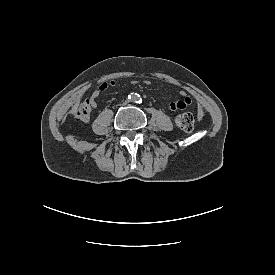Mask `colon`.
I'll return each mask as SVG.
<instances>
[{
    "mask_svg": "<svg viewBox=\"0 0 275 275\" xmlns=\"http://www.w3.org/2000/svg\"><path fill=\"white\" fill-rule=\"evenodd\" d=\"M109 86L115 85L114 81L108 83ZM91 113L90 99L88 96L84 97L82 103L76 107L72 112V117L79 120H86ZM174 124L183 132H190L194 129L195 117L192 113H183L174 119Z\"/></svg>",
    "mask_w": 275,
    "mask_h": 275,
    "instance_id": "5ec220e1",
    "label": "colon"
}]
</instances>
